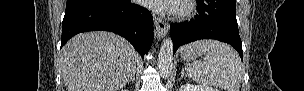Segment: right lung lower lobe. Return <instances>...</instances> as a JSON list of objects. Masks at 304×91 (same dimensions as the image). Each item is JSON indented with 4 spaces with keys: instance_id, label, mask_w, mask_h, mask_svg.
Wrapping results in <instances>:
<instances>
[{
    "instance_id": "1",
    "label": "right lung lower lobe",
    "mask_w": 304,
    "mask_h": 91,
    "mask_svg": "<svg viewBox=\"0 0 304 91\" xmlns=\"http://www.w3.org/2000/svg\"><path fill=\"white\" fill-rule=\"evenodd\" d=\"M106 30L127 39L144 56L153 41V18L129 0H67L61 47L77 33Z\"/></svg>"
}]
</instances>
